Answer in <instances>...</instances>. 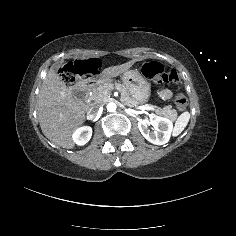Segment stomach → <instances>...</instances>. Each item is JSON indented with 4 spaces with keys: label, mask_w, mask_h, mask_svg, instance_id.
<instances>
[{
    "label": "stomach",
    "mask_w": 236,
    "mask_h": 236,
    "mask_svg": "<svg viewBox=\"0 0 236 236\" xmlns=\"http://www.w3.org/2000/svg\"><path fill=\"white\" fill-rule=\"evenodd\" d=\"M121 78L132 98L140 102V104L148 100L150 96V83L137 70H127L122 74ZM109 80L110 78H104V81Z\"/></svg>",
    "instance_id": "0dacf381"
}]
</instances>
